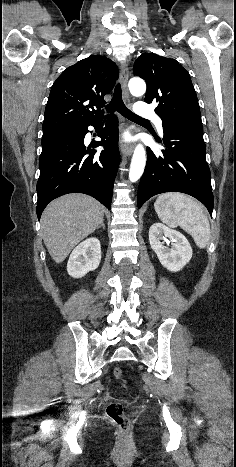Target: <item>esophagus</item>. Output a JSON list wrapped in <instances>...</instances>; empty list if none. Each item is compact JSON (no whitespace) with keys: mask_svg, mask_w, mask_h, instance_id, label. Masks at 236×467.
I'll list each match as a JSON object with an SVG mask.
<instances>
[{"mask_svg":"<svg viewBox=\"0 0 236 467\" xmlns=\"http://www.w3.org/2000/svg\"><path fill=\"white\" fill-rule=\"evenodd\" d=\"M128 78H129V72H128L127 64L125 61H121L120 62V82L122 85L123 97L126 103L129 105L130 96H129V92L127 88ZM133 149H134V145L132 143L121 145V153L124 156H130L133 152Z\"/></svg>","mask_w":236,"mask_h":467,"instance_id":"obj_1","label":"esophagus"}]
</instances>
